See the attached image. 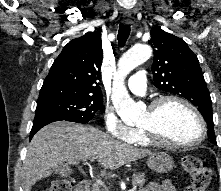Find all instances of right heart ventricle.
I'll return each mask as SVG.
<instances>
[{"label": "right heart ventricle", "mask_w": 221, "mask_h": 191, "mask_svg": "<svg viewBox=\"0 0 221 191\" xmlns=\"http://www.w3.org/2000/svg\"><path fill=\"white\" fill-rule=\"evenodd\" d=\"M129 143L137 146L151 145L150 142L145 137L144 133L140 129H136L134 137Z\"/></svg>", "instance_id": "right-heart-ventricle-1"}]
</instances>
